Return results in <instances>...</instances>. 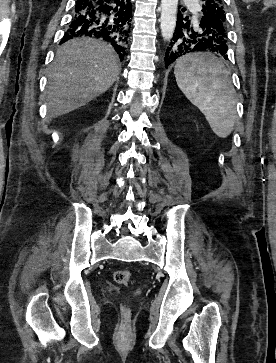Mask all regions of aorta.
<instances>
[{
  "mask_svg": "<svg viewBox=\"0 0 276 363\" xmlns=\"http://www.w3.org/2000/svg\"><path fill=\"white\" fill-rule=\"evenodd\" d=\"M178 0H162L161 2V33L165 41H169L175 30Z\"/></svg>",
  "mask_w": 276,
  "mask_h": 363,
  "instance_id": "aorta-1",
  "label": "aorta"
}]
</instances>
